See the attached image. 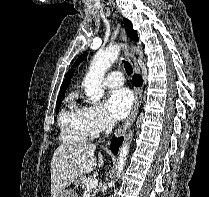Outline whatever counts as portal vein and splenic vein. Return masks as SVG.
<instances>
[{
	"instance_id": "18ae733b",
	"label": "portal vein and splenic vein",
	"mask_w": 209,
	"mask_h": 197,
	"mask_svg": "<svg viewBox=\"0 0 209 197\" xmlns=\"http://www.w3.org/2000/svg\"><path fill=\"white\" fill-rule=\"evenodd\" d=\"M98 185V180L96 178L91 179L87 184L85 188V192H89L92 189H95Z\"/></svg>"
}]
</instances>
